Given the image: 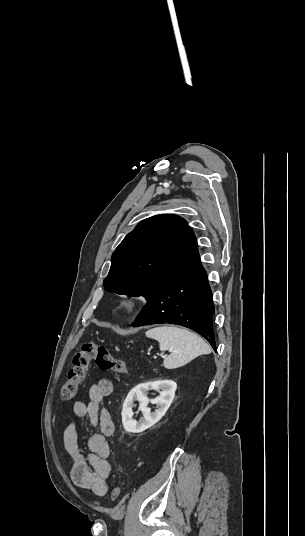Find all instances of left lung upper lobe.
Here are the masks:
<instances>
[{"instance_id": "left-lung-upper-lobe-1", "label": "left lung upper lobe", "mask_w": 305, "mask_h": 536, "mask_svg": "<svg viewBox=\"0 0 305 536\" xmlns=\"http://www.w3.org/2000/svg\"><path fill=\"white\" fill-rule=\"evenodd\" d=\"M198 256L195 234L183 218L153 216L118 245L103 284L109 292L143 295L148 301Z\"/></svg>"}]
</instances>
